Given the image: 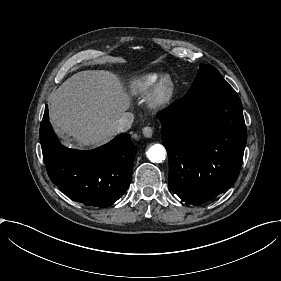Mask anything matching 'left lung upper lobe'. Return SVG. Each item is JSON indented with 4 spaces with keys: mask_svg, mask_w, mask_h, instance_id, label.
Segmentation results:
<instances>
[{
    "mask_svg": "<svg viewBox=\"0 0 281 281\" xmlns=\"http://www.w3.org/2000/svg\"><path fill=\"white\" fill-rule=\"evenodd\" d=\"M197 76L184 97L234 89L224 80L220 72L211 65L200 64Z\"/></svg>",
    "mask_w": 281,
    "mask_h": 281,
    "instance_id": "obj_1",
    "label": "left lung upper lobe"
}]
</instances>
